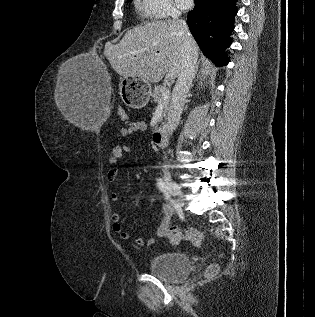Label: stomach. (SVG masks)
Wrapping results in <instances>:
<instances>
[{
	"label": "stomach",
	"instance_id": "obj_1",
	"mask_svg": "<svg viewBox=\"0 0 315 317\" xmlns=\"http://www.w3.org/2000/svg\"><path fill=\"white\" fill-rule=\"evenodd\" d=\"M121 99L130 108L140 109L149 102L152 87L148 81L138 77L122 78L119 84Z\"/></svg>",
	"mask_w": 315,
	"mask_h": 317
}]
</instances>
